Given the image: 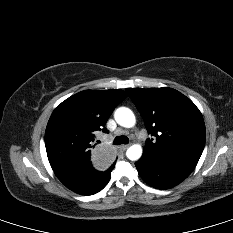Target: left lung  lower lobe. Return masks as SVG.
<instances>
[{"mask_svg":"<svg viewBox=\"0 0 233 233\" xmlns=\"http://www.w3.org/2000/svg\"><path fill=\"white\" fill-rule=\"evenodd\" d=\"M198 160L187 155H157L144 150L135 166L147 184L157 189H168L186 179Z\"/></svg>","mask_w":233,"mask_h":233,"instance_id":"0a47b994","label":"left lung lower lobe"}]
</instances>
